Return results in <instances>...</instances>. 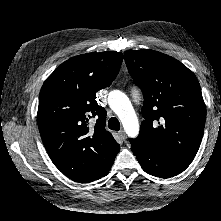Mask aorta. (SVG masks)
<instances>
[{
  "mask_svg": "<svg viewBox=\"0 0 221 221\" xmlns=\"http://www.w3.org/2000/svg\"><path fill=\"white\" fill-rule=\"evenodd\" d=\"M108 105L119 117L127 135L135 138L139 134V122L127 95L119 90H112L108 95Z\"/></svg>",
  "mask_w": 221,
  "mask_h": 221,
  "instance_id": "762f6f07",
  "label": "aorta"
}]
</instances>
